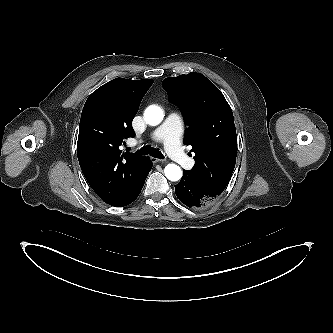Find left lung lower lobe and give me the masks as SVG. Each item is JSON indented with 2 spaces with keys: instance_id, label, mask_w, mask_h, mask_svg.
<instances>
[{
  "instance_id": "0a47b994",
  "label": "left lung lower lobe",
  "mask_w": 333,
  "mask_h": 333,
  "mask_svg": "<svg viewBox=\"0 0 333 333\" xmlns=\"http://www.w3.org/2000/svg\"><path fill=\"white\" fill-rule=\"evenodd\" d=\"M175 192L183 204L198 209L210 206L219 196L216 192L196 184L187 171L183 172L182 179L175 185Z\"/></svg>"
}]
</instances>
